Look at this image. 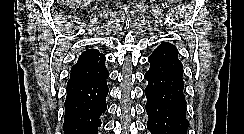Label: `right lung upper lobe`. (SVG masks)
I'll use <instances>...</instances> for the list:
<instances>
[{"mask_svg":"<svg viewBox=\"0 0 244 134\" xmlns=\"http://www.w3.org/2000/svg\"><path fill=\"white\" fill-rule=\"evenodd\" d=\"M104 62L105 56L99 53L98 50L89 49L84 51L72 67L67 84L90 81L107 75L108 71Z\"/></svg>","mask_w":244,"mask_h":134,"instance_id":"right-lung-upper-lobe-1","label":"right lung upper lobe"}]
</instances>
